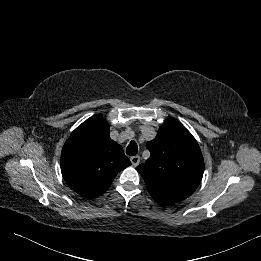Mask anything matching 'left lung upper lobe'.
Instances as JSON below:
<instances>
[{"label":"left lung upper lobe","mask_w":261,"mask_h":261,"mask_svg":"<svg viewBox=\"0 0 261 261\" xmlns=\"http://www.w3.org/2000/svg\"><path fill=\"white\" fill-rule=\"evenodd\" d=\"M151 155L137 166L150 194L189 197L198 187L204 172L200 147L179 122L168 121L157 136L147 142Z\"/></svg>","instance_id":"5c2ea615"}]
</instances>
